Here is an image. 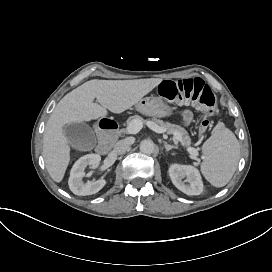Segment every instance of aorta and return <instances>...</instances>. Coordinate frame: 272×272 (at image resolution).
I'll return each mask as SVG.
<instances>
[{"instance_id":"1","label":"aorta","mask_w":272,"mask_h":272,"mask_svg":"<svg viewBox=\"0 0 272 272\" xmlns=\"http://www.w3.org/2000/svg\"><path fill=\"white\" fill-rule=\"evenodd\" d=\"M155 150V144L152 140H143L140 143V151L144 154H152Z\"/></svg>"}]
</instances>
